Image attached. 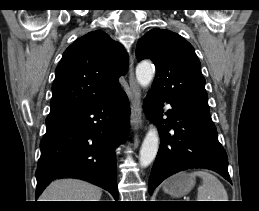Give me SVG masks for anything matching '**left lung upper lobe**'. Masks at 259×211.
<instances>
[{"label":"left lung upper lobe","instance_id":"5c2ea615","mask_svg":"<svg viewBox=\"0 0 259 211\" xmlns=\"http://www.w3.org/2000/svg\"><path fill=\"white\" fill-rule=\"evenodd\" d=\"M136 58L151 59L155 64L152 91L177 103L209 110L199 59L183 37L169 30L152 29L138 41Z\"/></svg>","mask_w":259,"mask_h":211}]
</instances>
